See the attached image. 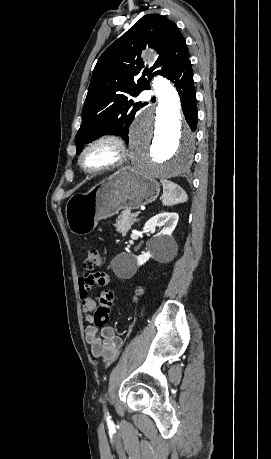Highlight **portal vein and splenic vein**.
<instances>
[{
	"label": "portal vein and splenic vein",
	"mask_w": 271,
	"mask_h": 459,
	"mask_svg": "<svg viewBox=\"0 0 271 459\" xmlns=\"http://www.w3.org/2000/svg\"><path fill=\"white\" fill-rule=\"evenodd\" d=\"M137 214H138L137 212H134L131 216L136 217Z\"/></svg>",
	"instance_id": "obj_1"
}]
</instances>
